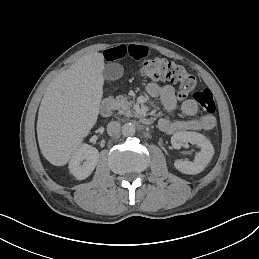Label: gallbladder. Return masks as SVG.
Instances as JSON below:
<instances>
[{
    "label": "gallbladder",
    "instance_id": "bac80fb5",
    "mask_svg": "<svg viewBox=\"0 0 259 259\" xmlns=\"http://www.w3.org/2000/svg\"><path fill=\"white\" fill-rule=\"evenodd\" d=\"M124 74V68L119 63H109L105 65L102 77L105 82L110 83L120 79Z\"/></svg>",
    "mask_w": 259,
    "mask_h": 259
}]
</instances>
